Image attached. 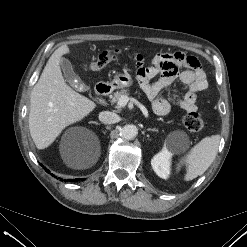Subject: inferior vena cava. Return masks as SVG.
Here are the masks:
<instances>
[{"mask_svg":"<svg viewBox=\"0 0 247 247\" xmlns=\"http://www.w3.org/2000/svg\"><path fill=\"white\" fill-rule=\"evenodd\" d=\"M99 120L104 124H114L117 123L120 118L116 113L102 111L99 113Z\"/></svg>","mask_w":247,"mask_h":247,"instance_id":"1","label":"inferior vena cava"}]
</instances>
